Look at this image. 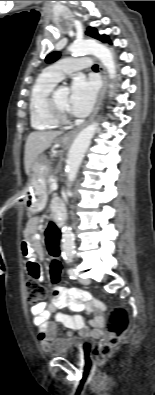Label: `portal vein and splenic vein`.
I'll use <instances>...</instances> for the list:
<instances>
[{
	"label": "portal vein and splenic vein",
	"instance_id": "obj_1",
	"mask_svg": "<svg viewBox=\"0 0 155 395\" xmlns=\"http://www.w3.org/2000/svg\"><path fill=\"white\" fill-rule=\"evenodd\" d=\"M57 188H58L57 183H56V182H53V183L51 184V189H52V190H56Z\"/></svg>",
	"mask_w": 155,
	"mask_h": 395
}]
</instances>
